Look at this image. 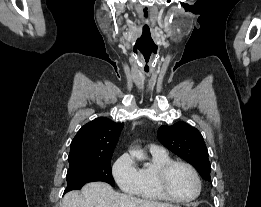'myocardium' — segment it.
Listing matches in <instances>:
<instances>
[{
    "instance_id": "f54148a6",
    "label": "myocardium",
    "mask_w": 261,
    "mask_h": 207,
    "mask_svg": "<svg viewBox=\"0 0 261 207\" xmlns=\"http://www.w3.org/2000/svg\"><path fill=\"white\" fill-rule=\"evenodd\" d=\"M184 166L186 167L193 175L195 182H196V192L192 197L189 198H178L172 194V192L169 189L168 186V176L170 171L175 167V166ZM156 181L157 185L159 188V191L161 194L168 200L176 202V203H190L194 200H196L202 189V183L200 176L197 172V170L188 162L182 161V160H171L165 164H163L158 170L156 174Z\"/></svg>"
}]
</instances>
